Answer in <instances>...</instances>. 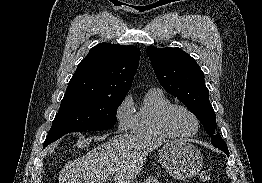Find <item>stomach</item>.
<instances>
[{
    "label": "stomach",
    "instance_id": "0dacf381",
    "mask_svg": "<svg viewBox=\"0 0 262 183\" xmlns=\"http://www.w3.org/2000/svg\"><path fill=\"white\" fill-rule=\"evenodd\" d=\"M159 159L169 175L178 180L192 178L198 174L203 164L200 151L184 140L166 141L159 152ZM132 183H159V181L149 176L144 182Z\"/></svg>",
    "mask_w": 262,
    "mask_h": 183
}]
</instances>
